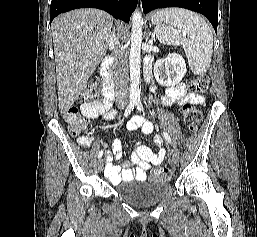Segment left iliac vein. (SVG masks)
I'll use <instances>...</instances> for the list:
<instances>
[{
  "label": "left iliac vein",
  "instance_id": "obj_1",
  "mask_svg": "<svg viewBox=\"0 0 257 237\" xmlns=\"http://www.w3.org/2000/svg\"><path fill=\"white\" fill-rule=\"evenodd\" d=\"M169 158L172 162L178 163L179 162V154H178L177 150L171 149L169 152Z\"/></svg>",
  "mask_w": 257,
  "mask_h": 237
}]
</instances>
